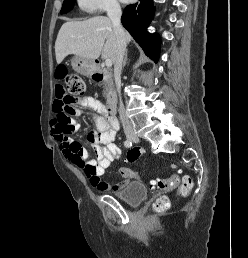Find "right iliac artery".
<instances>
[{
  "mask_svg": "<svg viewBox=\"0 0 248 258\" xmlns=\"http://www.w3.org/2000/svg\"><path fill=\"white\" fill-rule=\"evenodd\" d=\"M124 145H125V147L129 148V147L132 146V142H131L130 140H126V141L124 142Z\"/></svg>",
  "mask_w": 248,
  "mask_h": 258,
  "instance_id": "1",
  "label": "right iliac artery"
}]
</instances>
